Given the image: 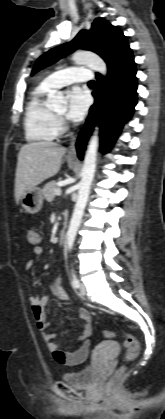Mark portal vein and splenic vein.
Returning <instances> with one entry per match:
<instances>
[{"instance_id":"18ae733b","label":"portal vein and splenic vein","mask_w":165,"mask_h":419,"mask_svg":"<svg viewBox=\"0 0 165 419\" xmlns=\"http://www.w3.org/2000/svg\"><path fill=\"white\" fill-rule=\"evenodd\" d=\"M55 194H56V195H60V194H61V189H59V188H58V189H56V190H55Z\"/></svg>"}]
</instances>
